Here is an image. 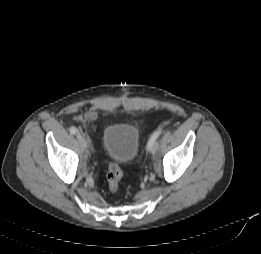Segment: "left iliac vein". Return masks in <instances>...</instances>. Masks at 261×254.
I'll return each mask as SVG.
<instances>
[{"instance_id":"left-iliac-vein-1","label":"left iliac vein","mask_w":261,"mask_h":254,"mask_svg":"<svg viewBox=\"0 0 261 254\" xmlns=\"http://www.w3.org/2000/svg\"><path fill=\"white\" fill-rule=\"evenodd\" d=\"M157 149H158V142H155L150 151L154 154L157 151Z\"/></svg>"}]
</instances>
